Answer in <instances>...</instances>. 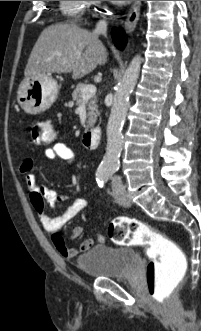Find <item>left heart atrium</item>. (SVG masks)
Returning a JSON list of instances; mask_svg holds the SVG:
<instances>
[{"label": "left heart atrium", "instance_id": "39dd6f15", "mask_svg": "<svg viewBox=\"0 0 201 331\" xmlns=\"http://www.w3.org/2000/svg\"><path fill=\"white\" fill-rule=\"evenodd\" d=\"M111 2H113L115 4H118V5H124V4H127L130 1H111Z\"/></svg>", "mask_w": 201, "mask_h": 331}]
</instances>
